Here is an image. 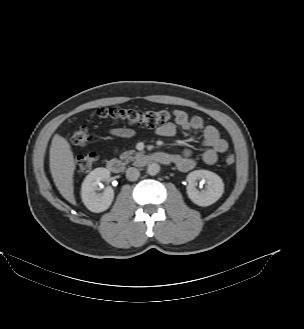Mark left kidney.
<instances>
[{"mask_svg": "<svg viewBox=\"0 0 304 329\" xmlns=\"http://www.w3.org/2000/svg\"><path fill=\"white\" fill-rule=\"evenodd\" d=\"M187 194L190 200L199 206H209L215 203L224 192V183L215 173L208 170H195L186 178ZM199 181L206 182V189L198 191L196 185Z\"/></svg>", "mask_w": 304, "mask_h": 329, "instance_id": "left-kidney-1", "label": "left kidney"}]
</instances>
